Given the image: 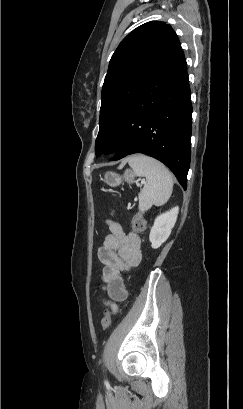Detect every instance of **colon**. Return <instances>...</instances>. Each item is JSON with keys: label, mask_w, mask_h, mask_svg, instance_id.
Masks as SVG:
<instances>
[{"label": "colon", "mask_w": 243, "mask_h": 409, "mask_svg": "<svg viewBox=\"0 0 243 409\" xmlns=\"http://www.w3.org/2000/svg\"><path fill=\"white\" fill-rule=\"evenodd\" d=\"M135 226L138 229H142L145 226V221L143 219V214L140 213V212L137 214V219H136V222H135ZM111 323H112L111 313H110V311L107 310V311H105V314H104V316H103V318L101 320L102 329L103 330H108L109 327L111 326Z\"/></svg>", "instance_id": "colon-1"}]
</instances>
